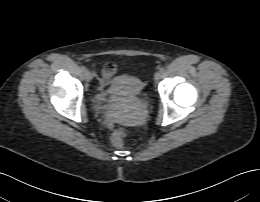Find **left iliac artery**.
<instances>
[{"mask_svg":"<svg viewBox=\"0 0 260 202\" xmlns=\"http://www.w3.org/2000/svg\"><path fill=\"white\" fill-rule=\"evenodd\" d=\"M160 72L161 73H164L165 72V69L162 67V68H160Z\"/></svg>","mask_w":260,"mask_h":202,"instance_id":"44dca946","label":"left iliac artery"}]
</instances>
